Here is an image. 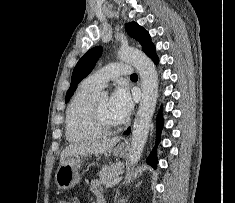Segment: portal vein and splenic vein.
Here are the masks:
<instances>
[{"label": "portal vein and splenic vein", "instance_id": "18ae733b", "mask_svg": "<svg viewBox=\"0 0 235 203\" xmlns=\"http://www.w3.org/2000/svg\"><path fill=\"white\" fill-rule=\"evenodd\" d=\"M121 179H122V177L118 176L117 178L113 179L110 183H108L106 185V187L107 188L112 187L113 185L117 184Z\"/></svg>", "mask_w": 235, "mask_h": 203}]
</instances>
